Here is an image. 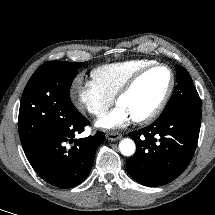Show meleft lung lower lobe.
<instances>
[{"label": "left lung lower lobe", "instance_id": "left-lung-lower-lobe-1", "mask_svg": "<svg viewBox=\"0 0 215 215\" xmlns=\"http://www.w3.org/2000/svg\"><path fill=\"white\" fill-rule=\"evenodd\" d=\"M201 114L173 111L150 126L129 133L136 153L126 161L130 176L145 186H161L176 179L189 165L199 137Z\"/></svg>", "mask_w": 215, "mask_h": 215}]
</instances>
